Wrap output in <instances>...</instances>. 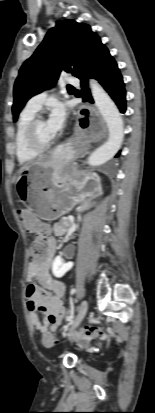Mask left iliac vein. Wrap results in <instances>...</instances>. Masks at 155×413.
Wrapping results in <instances>:
<instances>
[{"label":"left iliac vein","mask_w":155,"mask_h":413,"mask_svg":"<svg viewBox=\"0 0 155 413\" xmlns=\"http://www.w3.org/2000/svg\"><path fill=\"white\" fill-rule=\"evenodd\" d=\"M87 310H88V302L87 300H83L79 307L77 317L75 318V320L71 323L69 327V331H68L69 333L73 332L78 327V325L81 323V321L85 317Z\"/></svg>","instance_id":"4c4485c4"}]
</instances>
